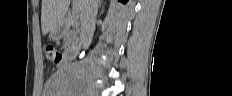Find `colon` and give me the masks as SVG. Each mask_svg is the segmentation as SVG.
Masks as SVG:
<instances>
[{
	"label": "colon",
	"instance_id": "colon-1",
	"mask_svg": "<svg viewBox=\"0 0 232 96\" xmlns=\"http://www.w3.org/2000/svg\"><path fill=\"white\" fill-rule=\"evenodd\" d=\"M46 55L51 62L56 64L60 63L62 60V53L53 46H48L46 48Z\"/></svg>",
	"mask_w": 232,
	"mask_h": 96
}]
</instances>
